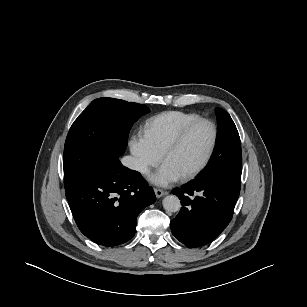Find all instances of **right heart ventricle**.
<instances>
[{"instance_id": "right-heart-ventricle-1", "label": "right heart ventricle", "mask_w": 307, "mask_h": 307, "mask_svg": "<svg viewBox=\"0 0 307 307\" xmlns=\"http://www.w3.org/2000/svg\"><path fill=\"white\" fill-rule=\"evenodd\" d=\"M201 118L200 115L182 111H167L148 120L144 136L159 153L167 146L188 123Z\"/></svg>"}]
</instances>
